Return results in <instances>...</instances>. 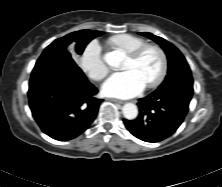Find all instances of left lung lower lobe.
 Returning <instances> with one entry per match:
<instances>
[{"instance_id":"obj_1","label":"left lung lower lobe","mask_w":222,"mask_h":187,"mask_svg":"<svg viewBox=\"0 0 222 187\" xmlns=\"http://www.w3.org/2000/svg\"><path fill=\"white\" fill-rule=\"evenodd\" d=\"M175 87L171 84L161 92L154 91L139 99L138 117L123 120L132 135L153 143L168 138L177 130L189 109L193 94L192 76L181 77V86Z\"/></svg>"}]
</instances>
